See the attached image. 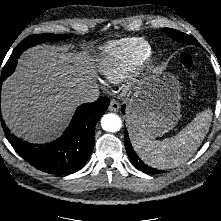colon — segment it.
<instances>
[{
    "label": "colon",
    "instance_id": "obj_1",
    "mask_svg": "<svg viewBox=\"0 0 221 221\" xmlns=\"http://www.w3.org/2000/svg\"><path fill=\"white\" fill-rule=\"evenodd\" d=\"M182 66L190 72V75L195 78L197 76V71L195 69V61L191 54L184 52L180 57Z\"/></svg>",
    "mask_w": 221,
    "mask_h": 221
}]
</instances>
